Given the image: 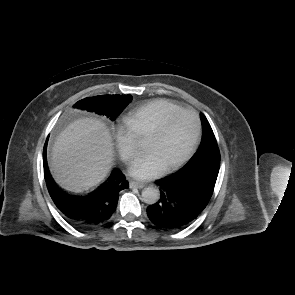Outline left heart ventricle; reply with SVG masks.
I'll use <instances>...</instances> for the list:
<instances>
[{
	"label": "left heart ventricle",
	"instance_id": "obj_1",
	"mask_svg": "<svg viewBox=\"0 0 295 295\" xmlns=\"http://www.w3.org/2000/svg\"><path fill=\"white\" fill-rule=\"evenodd\" d=\"M195 134V121L189 114L173 118L164 134L156 140H147L144 149L156 156L165 167L181 158L189 149Z\"/></svg>",
	"mask_w": 295,
	"mask_h": 295
}]
</instances>
